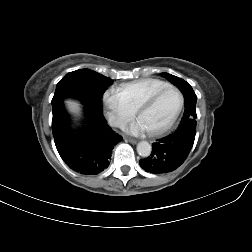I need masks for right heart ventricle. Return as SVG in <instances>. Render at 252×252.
Returning <instances> with one entry per match:
<instances>
[{
  "mask_svg": "<svg viewBox=\"0 0 252 252\" xmlns=\"http://www.w3.org/2000/svg\"><path fill=\"white\" fill-rule=\"evenodd\" d=\"M170 86L158 79H141L121 85L118 90L126 97L130 105L136 109L149 96Z\"/></svg>",
  "mask_w": 252,
  "mask_h": 252,
  "instance_id": "right-heart-ventricle-1",
  "label": "right heart ventricle"
}]
</instances>
